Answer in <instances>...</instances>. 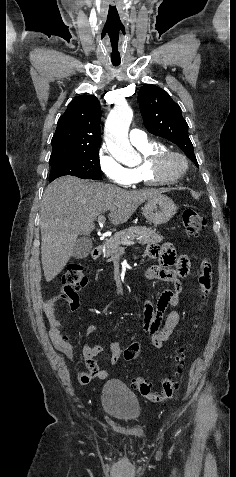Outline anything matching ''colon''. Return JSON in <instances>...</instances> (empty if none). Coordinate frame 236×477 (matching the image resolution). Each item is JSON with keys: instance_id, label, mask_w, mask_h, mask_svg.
<instances>
[{"instance_id": "1", "label": "colon", "mask_w": 236, "mask_h": 477, "mask_svg": "<svg viewBox=\"0 0 236 477\" xmlns=\"http://www.w3.org/2000/svg\"><path fill=\"white\" fill-rule=\"evenodd\" d=\"M184 232L188 236H197L206 227V219L203 215L193 209H185L182 212ZM182 263L185 265L181 272H186V265L188 258L182 257ZM62 282L64 285V292L66 294H75L78 291L84 290L88 285V278L84 273V269L79 264H69L62 275ZM199 294L201 298V305H205L210 297L213 287V267L209 260L204 259L201 263L199 276ZM142 349L139 342H134L127 346L123 352L125 360L130 361L138 357ZM187 350H181L176 356L175 368L169 376L162 381L160 390H154L152 385L144 379L138 377L133 381V386L138 392L147 399L155 402H165L175 395L178 389V378L182 374Z\"/></svg>"}]
</instances>
